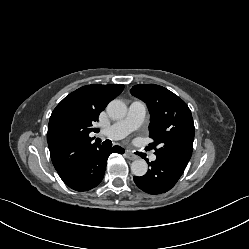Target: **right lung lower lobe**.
<instances>
[{
    "label": "right lung lower lobe",
    "mask_w": 249,
    "mask_h": 249,
    "mask_svg": "<svg viewBox=\"0 0 249 249\" xmlns=\"http://www.w3.org/2000/svg\"><path fill=\"white\" fill-rule=\"evenodd\" d=\"M117 152L124 153V149L114 146L112 149L98 145L74 168L63 182L76 191H87L96 187L103 179L108 156Z\"/></svg>",
    "instance_id": "right-lung-lower-lobe-1"
}]
</instances>
